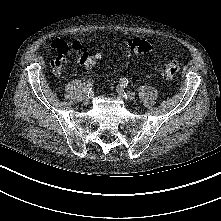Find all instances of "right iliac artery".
Wrapping results in <instances>:
<instances>
[{
  "label": "right iliac artery",
  "instance_id": "1",
  "mask_svg": "<svg viewBox=\"0 0 221 221\" xmlns=\"http://www.w3.org/2000/svg\"><path fill=\"white\" fill-rule=\"evenodd\" d=\"M84 87L86 90L91 91L93 88V83L91 81H88L84 84Z\"/></svg>",
  "mask_w": 221,
  "mask_h": 221
}]
</instances>
